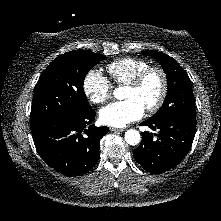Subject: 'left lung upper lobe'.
I'll list each match as a JSON object with an SVG mask.
<instances>
[{
  "label": "left lung upper lobe",
  "instance_id": "obj_1",
  "mask_svg": "<svg viewBox=\"0 0 221 221\" xmlns=\"http://www.w3.org/2000/svg\"><path fill=\"white\" fill-rule=\"evenodd\" d=\"M143 53L154 57L163 67L168 92L164 103L152 119L178 117L196 122L195 99L188 75L183 68L169 55L157 51L147 50Z\"/></svg>",
  "mask_w": 221,
  "mask_h": 221
}]
</instances>
